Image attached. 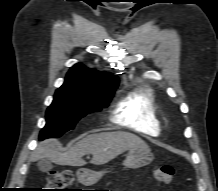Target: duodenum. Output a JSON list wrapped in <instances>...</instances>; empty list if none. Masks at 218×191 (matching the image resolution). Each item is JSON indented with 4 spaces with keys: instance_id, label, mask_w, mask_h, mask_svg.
Masks as SVG:
<instances>
[{
    "instance_id": "duodenum-1",
    "label": "duodenum",
    "mask_w": 218,
    "mask_h": 191,
    "mask_svg": "<svg viewBox=\"0 0 218 191\" xmlns=\"http://www.w3.org/2000/svg\"><path fill=\"white\" fill-rule=\"evenodd\" d=\"M83 173H84V171H83V170H81V171H80V174H81V176H83Z\"/></svg>"
}]
</instances>
